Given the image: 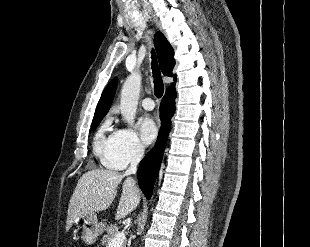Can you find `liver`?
I'll return each mask as SVG.
<instances>
[{"mask_svg":"<svg viewBox=\"0 0 310 247\" xmlns=\"http://www.w3.org/2000/svg\"><path fill=\"white\" fill-rule=\"evenodd\" d=\"M123 178V174L106 169H93L84 173L69 202L66 229L69 230L78 218L106 210L115 199L117 187ZM139 202V188L134 179L127 178L123 182L115 218L119 220L126 217L136 209Z\"/></svg>","mask_w":310,"mask_h":247,"instance_id":"1","label":"liver"}]
</instances>
